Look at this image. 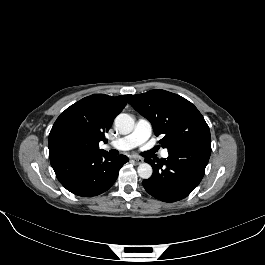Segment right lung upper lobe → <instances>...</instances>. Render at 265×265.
Instances as JSON below:
<instances>
[{"label": "right lung upper lobe", "instance_id": "obj_1", "mask_svg": "<svg viewBox=\"0 0 265 265\" xmlns=\"http://www.w3.org/2000/svg\"><path fill=\"white\" fill-rule=\"evenodd\" d=\"M131 95L112 97L94 94L68 107L55 121L49 134L50 159L100 152L99 142L107 141L114 118L123 110Z\"/></svg>", "mask_w": 265, "mask_h": 265}]
</instances>
